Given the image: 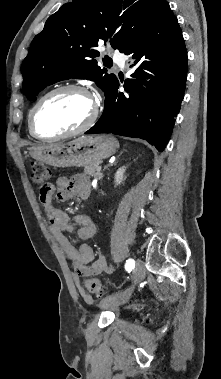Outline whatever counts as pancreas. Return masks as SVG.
Instances as JSON below:
<instances>
[{
    "instance_id": "obj_1",
    "label": "pancreas",
    "mask_w": 221,
    "mask_h": 379,
    "mask_svg": "<svg viewBox=\"0 0 221 379\" xmlns=\"http://www.w3.org/2000/svg\"><path fill=\"white\" fill-rule=\"evenodd\" d=\"M100 163L87 164L84 166V173L89 176H93L98 173Z\"/></svg>"
}]
</instances>
